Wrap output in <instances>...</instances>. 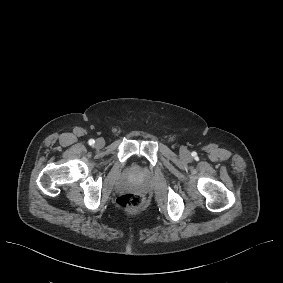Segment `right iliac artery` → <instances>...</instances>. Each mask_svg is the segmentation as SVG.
I'll return each mask as SVG.
<instances>
[{
	"label": "right iliac artery",
	"instance_id": "1",
	"mask_svg": "<svg viewBox=\"0 0 283 283\" xmlns=\"http://www.w3.org/2000/svg\"><path fill=\"white\" fill-rule=\"evenodd\" d=\"M88 143H89V145H93V144L95 143V141H94L93 139H90V140L88 141Z\"/></svg>",
	"mask_w": 283,
	"mask_h": 283
}]
</instances>
